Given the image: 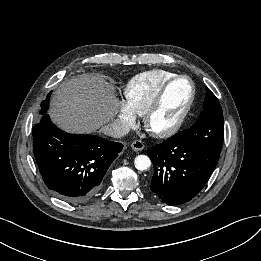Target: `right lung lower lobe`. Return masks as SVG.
<instances>
[{"label":"right lung lower lobe","mask_w":261,"mask_h":261,"mask_svg":"<svg viewBox=\"0 0 261 261\" xmlns=\"http://www.w3.org/2000/svg\"><path fill=\"white\" fill-rule=\"evenodd\" d=\"M123 145L57 128L44 114L33 127V152L46 186L59 198L80 203L94 196Z\"/></svg>","instance_id":"obj_1"}]
</instances>
